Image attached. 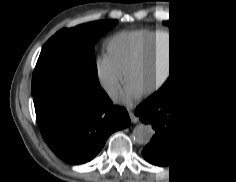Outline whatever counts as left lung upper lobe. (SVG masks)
I'll return each instance as SVG.
<instances>
[{
    "label": "left lung upper lobe",
    "mask_w": 236,
    "mask_h": 182,
    "mask_svg": "<svg viewBox=\"0 0 236 182\" xmlns=\"http://www.w3.org/2000/svg\"><path fill=\"white\" fill-rule=\"evenodd\" d=\"M163 23L175 36L178 54L166 84L147 100L158 97L170 102L188 100L214 106L212 61L203 40L183 23L175 20Z\"/></svg>",
    "instance_id": "left-lung-upper-lobe-1"
}]
</instances>
